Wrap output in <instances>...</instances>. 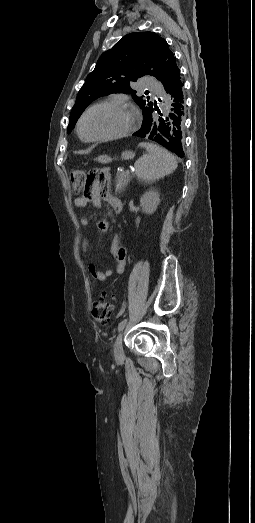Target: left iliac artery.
<instances>
[{"label":"left iliac artery","mask_w":255,"mask_h":523,"mask_svg":"<svg viewBox=\"0 0 255 523\" xmlns=\"http://www.w3.org/2000/svg\"><path fill=\"white\" fill-rule=\"evenodd\" d=\"M127 323V319L122 320L118 325V331H121Z\"/></svg>","instance_id":"obj_1"}]
</instances>
